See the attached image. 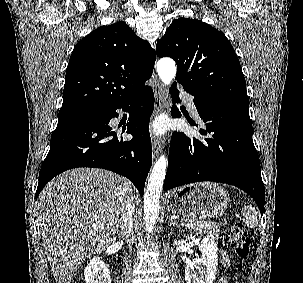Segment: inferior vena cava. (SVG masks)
Here are the masks:
<instances>
[{"mask_svg":"<svg viewBox=\"0 0 303 283\" xmlns=\"http://www.w3.org/2000/svg\"><path fill=\"white\" fill-rule=\"evenodd\" d=\"M123 196L124 211L122 215V222L120 224L121 235L126 236L133 228L132 215L134 212V198L131 193V185L127 180H124L121 189Z\"/></svg>","mask_w":303,"mask_h":283,"instance_id":"1","label":"inferior vena cava"}]
</instances>
